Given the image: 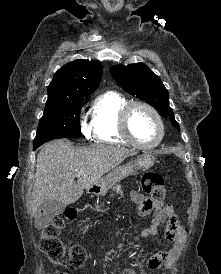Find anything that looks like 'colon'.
Returning <instances> with one entry per match:
<instances>
[{"label": "colon", "mask_w": 221, "mask_h": 274, "mask_svg": "<svg viewBox=\"0 0 221 274\" xmlns=\"http://www.w3.org/2000/svg\"><path fill=\"white\" fill-rule=\"evenodd\" d=\"M142 188L152 201H162L165 197L163 178L148 172L142 178ZM76 217L74 209H68L63 216H58L44 223L41 228L40 249L51 262L66 269L80 268L87 259L85 249L79 245H64L59 238L60 231L67 222ZM66 272H60L64 274Z\"/></svg>", "instance_id": "colon-1"}]
</instances>
